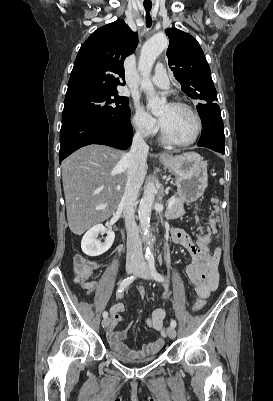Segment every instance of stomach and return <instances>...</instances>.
<instances>
[{"mask_svg":"<svg viewBox=\"0 0 273 401\" xmlns=\"http://www.w3.org/2000/svg\"><path fill=\"white\" fill-rule=\"evenodd\" d=\"M168 154V152H163ZM160 154L159 160L168 168L169 172L175 174L177 194L183 203H194L200 198L208 186L207 164L198 152H183L178 156L169 154V158H163Z\"/></svg>","mask_w":273,"mask_h":401,"instance_id":"obj_1","label":"stomach"}]
</instances>
